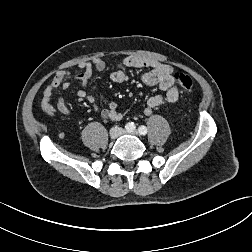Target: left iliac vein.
<instances>
[{
  "mask_svg": "<svg viewBox=\"0 0 252 252\" xmlns=\"http://www.w3.org/2000/svg\"><path fill=\"white\" fill-rule=\"evenodd\" d=\"M124 133H126V132H124ZM130 134H133V135H138L139 133H138V131H137V130H133V131H131V132H130Z\"/></svg>",
  "mask_w": 252,
  "mask_h": 252,
  "instance_id": "left-iliac-vein-1",
  "label": "left iliac vein"
}]
</instances>
